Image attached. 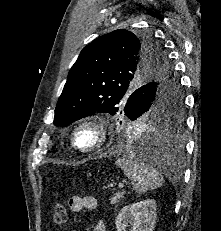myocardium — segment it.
I'll list each match as a JSON object with an SVG mask.
<instances>
[{
  "instance_id": "f54148a6",
  "label": "myocardium",
  "mask_w": 221,
  "mask_h": 231,
  "mask_svg": "<svg viewBox=\"0 0 221 231\" xmlns=\"http://www.w3.org/2000/svg\"><path fill=\"white\" fill-rule=\"evenodd\" d=\"M85 127L93 128L97 135L95 144L89 148H82L76 140L78 132ZM108 138V126L105 120L98 116H92L82 119L75 125L71 134V145L76 151L82 154H91L104 148L107 145Z\"/></svg>"
}]
</instances>
